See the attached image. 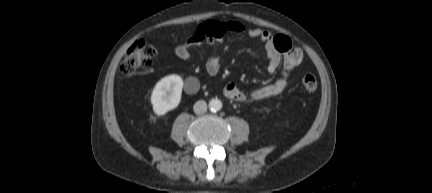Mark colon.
<instances>
[{"instance_id":"obj_1","label":"colon","mask_w":432,"mask_h":193,"mask_svg":"<svg viewBox=\"0 0 432 193\" xmlns=\"http://www.w3.org/2000/svg\"><path fill=\"white\" fill-rule=\"evenodd\" d=\"M223 35L224 31L222 28L215 26L201 37V41L206 40L208 42H213L222 38ZM156 59V49L145 40H138L126 52L120 64V71L123 75L130 76L136 73L140 68L150 67ZM301 84L308 92H314L317 89V79L311 73L302 77Z\"/></svg>"}]
</instances>
